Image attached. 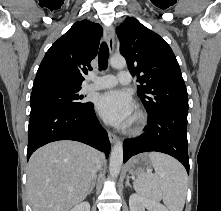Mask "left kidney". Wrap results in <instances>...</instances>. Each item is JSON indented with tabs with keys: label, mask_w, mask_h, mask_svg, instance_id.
Listing matches in <instances>:
<instances>
[{
	"label": "left kidney",
	"mask_w": 221,
	"mask_h": 211,
	"mask_svg": "<svg viewBox=\"0 0 221 211\" xmlns=\"http://www.w3.org/2000/svg\"><path fill=\"white\" fill-rule=\"evenodd\" d=\"M130 211H168V209L157 201L147 199L139 194H131L129 198Z\"/></svg>",
	"instance_id": "obj_1"
}]
</instances>
